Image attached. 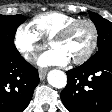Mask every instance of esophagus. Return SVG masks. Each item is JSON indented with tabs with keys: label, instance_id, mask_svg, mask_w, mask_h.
<instances>
[{
	"label": "esophagus",
	"instance_id": "esophagus-1",
	"mask_svg": "<svg viewBox=\"0 0 112 112\" xmlns=\"http://www.w3.org/2000/svg\"><path fill=\"white\" fill-rule=\"evenodd\" d=\"M46 73H47V71L44 70V69L39 70V78H40L41 80H44L45 77H46Z\"/></svg>",
	"mask_w": 112,
	"mask_h": 112
}]
</instances>
